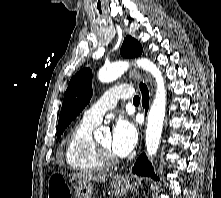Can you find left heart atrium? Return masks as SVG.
<instances>
[{
	"label": "left heart atrium",
	"instance_id": "obj_1",
	"mask_svg": "<svg viewBox=\"0 0 221 198\" xmlns=\"http://www.w3.org/2000/svg\"><path fill=\"white\" fill-rule=\"evenodd\" d=\"M137 139L135 125L126 119H118L111 135V150L117 156H127L136 145Z\"/></svg>",
	"mask_w": 221,
	"mask_h": 198
}]
</instances>
